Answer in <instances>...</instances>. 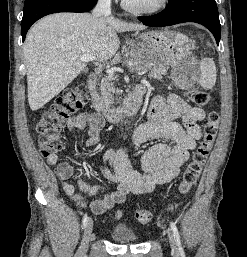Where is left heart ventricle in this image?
Wrapping results in <instances>:
<instances>
[{"label":"left heart ventricle","instance_id":"obj_1","mask_svg":"<svg viewBox=\"0 0 247 257\" xmlns=\"http://www.w3.org/2000/svg\"><path fill=\"white\" fill-rule=\"evenodd\" d=\"M136 6H152L156 4L159 0H127Z\"/></svg>","mask_w":247,"mask_h":257}]
</instances>
